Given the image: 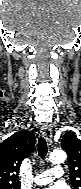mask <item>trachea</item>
<instances>
[{
  "mask_svg": "<svg viewBox=\"0 0 81 189\" xmlns=\"http://www.w3.org/2000/svg\"><path fill=\"white\" fill-rule=\"evenodd\" d=\"M38 155L41 157V158H44L48 152V148H47V144H46V141L44 139V137H40L38 139Z\"/></svg>",
  "mask_w": 81,
  "mask_h": 189,
  "instance_id": "trachea-1",
  "label": "trachea"
}]
</instances>
